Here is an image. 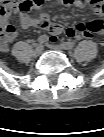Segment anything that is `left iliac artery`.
Wrapping results in <instances>:
<instances>
[{
    "instance_id": "1",
    "label": "left iliac artery",
    "mask_w": 104,
    "mask_h": 137,
    "mask_svg": "<svg viewBox=\"0 0 104 137\" xmlns=\"http://www.w3.org/2000/svg\"><path fill=\"white\" fill-rule=\"evenodd\" d=\"M72 47H73V44H72V43H67V44H66V48H67V49H71Z\"/></svg>"
}]
</instances>
